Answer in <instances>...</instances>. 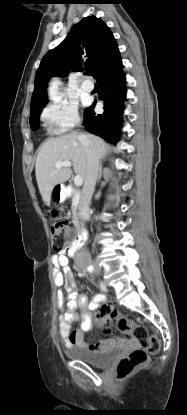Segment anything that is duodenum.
Segmentation results:
<instances>
[{
	"instance_id": "duodenum-1",
	"label": "duodenum",
	"mask_w": 187,
	"mask_h": 415,
	"mask_svg": "<svg viewBox=\"0 0 187 415\" xmlns=\"http://www.w3.org/2000/svg\"><path fill=\"white\" fill-rule=\"evenodd\" d=\"M61 194L65 197L71 198L73 200V204L75 205L78 199V193L77 191L70 187H63L61 189ZM86 238V232L83 228L79 229V238L77 239L76 244L74 245V247L71 249V253H74L75 251H77L80 247V245L82 244V242L85 240Z\"/></svg>"
}]
</instances>
